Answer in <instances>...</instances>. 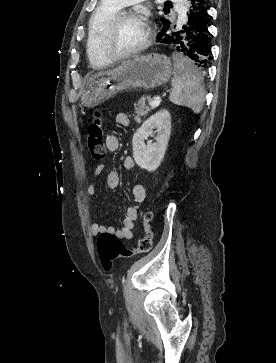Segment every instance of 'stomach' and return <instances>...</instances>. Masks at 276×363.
Masks as SVG:
<instances>
[{
    "label": "stomach",
    "mask_w": 276,
    "mask_h": 363,
    "mask_svg": "<svg viewBox=\"0 0 276 363\" xmlns=\"http://www.w3.org/2000/svg\"><path fill=\"white\" fill-rule=\"evenodd\" d=\"M172 74V62L167 56L158 53L136 56L90 81L81 103L93 108L130 87L152 90L168 82Z\"/></svg>",
    "instance_id": "1"
}]
</instances>
